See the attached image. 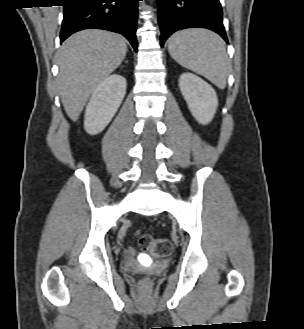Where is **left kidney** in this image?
<instances>
[{
	"label": "left kidney",
	"mask_w": 304,
	"mask_h": 329,
	"mask_svg": "<svg viewBox=\"0 0 304 329\" xmlns=\"http://www.w3.org/2000/svg\"><path fill=\"white\" fill-rule=\"evenodd\" d=\"M179 88L193 117L203 125L210 123L216 113L218 99L206 81L192 73L179 77Z\"/></svg>",
	"instance_id": "5707ae66"
}]
</instances>
